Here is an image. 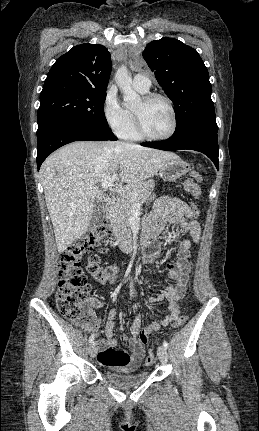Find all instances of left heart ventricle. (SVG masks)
<instances>
[{"label": "left heart ventricle", "mask_w": 259, "mask_h": 431, "mask_svg": "<svg viewBox=\"0 0 259 431\" xmlns=\"http://www.w3.org/2000/svg\"><path fill=\"white\" fill-rule=\"evenodd\" d=\"M141 115L145 129L151 135L159 136L170 130L172 118L168 105L161 99L144 103L141 99L134 107Z\"/></svg>", "instance_id": "1"}]
</instances>
